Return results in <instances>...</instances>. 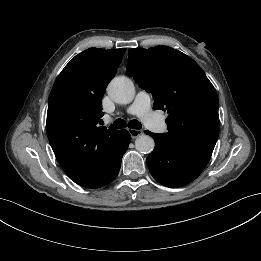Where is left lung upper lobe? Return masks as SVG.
Here are the masks:
<instances>
[{"instance_id":"1","label":"left lung upper lobe","mask_w":261,"mask_h":261,"mask_svg":"<svg viewBox=\"0 0 261 261\" xmlns=\"http://www.w3.org/2000/svg\"><path fill=\"white\" fill-rule=\"evenodd\" d=\"M127 71L151 93L154 107L167 111L163 135L184 147L213 150L219 135L218 97L200 66L167 47L131 49Z\"/></svg>"}]
</instances>
